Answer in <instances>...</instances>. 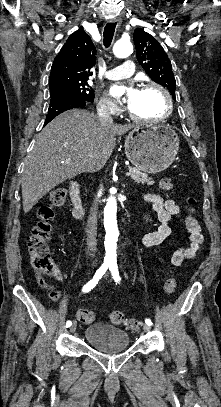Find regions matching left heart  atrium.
<instances>
[{"label": "left heart atrium", "instance_id": "39dd6f15", "mask_svg": "<svg viewBox=\"0 0 221 407\" xmlns=\"http://www.w3.org/2000/svg\"><path fill=\"white\" fill-rule=\"evenodd\" d=\"M139 90L135 88L132 84H119L114 85L111 88V94L115 97L126 96L128 100L134 98Z\"/></svg>", "mask_w": 221, "mask_h": 407}]
</instances>
